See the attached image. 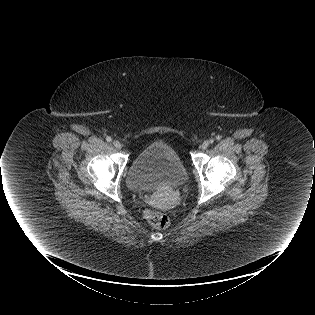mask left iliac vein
Instances as JSON below:
<instances>
[{"label": "left iliac vein", "mask_w": 315, "mask_h": 315, "mask_svg": "<svg viewBox=\"0 0 315 315\" xmlns=\"http://www.w3.org/2000/svg\"><path fill=\"white\" fill-rule=\"evenodd\" d=\"M209 145H210V142H209L208 140H205V141L201 144V148H202V149H206Z\"/></svg>", "instance_id": "obj_1"}]
</instances>
